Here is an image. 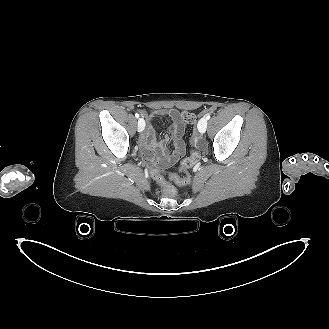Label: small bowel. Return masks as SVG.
<instances>
[{
	"label": "small bowel",
	"instance_id": "obj_1",
	"mask_svg": "<svg viewBox=\"0 0 329 329\" xmlns=\"http://www.w3.org/2000/svg\"><path fill=\"white\" fill-rule=\"evenodd\" d=\"M141 113L143 117L147 118L150 122L141 136V145L145 150V158L151 164L161 167L171 165L183 155L185 150V143L183 140L184 124L180 117L179 110L175 108L169 110L157 109L151 113H146L145 111H141ZM155 115H168L172 120L171 133L174 146L172 153L167 151V136L160 143L156 140V128L152 124Z\"/></svg>",
	"mask_w": 329,
	"mask_h": 329
}]
</instances>
